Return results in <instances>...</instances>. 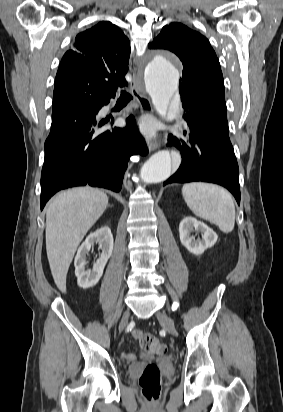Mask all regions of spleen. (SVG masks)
<instances>
[{
  "instance_id": "1",
  "label": "spleen",
  "mask_w": 283,
  "mask_h": 412,
  "mask_svg": "<svg viewBox=\"0 0 283 412\" xmlns=\"http://www.w3.org/2000/svg\"><path fill=\"white\" fill-rule=\"evenodd\" d=\"M182 195L189 209L197 216L230 233L235 225V206L231 195L223 188L201 182L185 184Z\"/></svg>"
}]
</instances>
